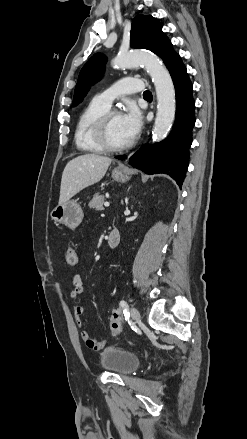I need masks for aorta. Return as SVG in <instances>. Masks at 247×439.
<instances>
[{"instance_id":"obj_1","label":"aorta","mask_w":247,"mask_h":439,"mask_svg":"<svg viewBox=\"0 0 247 439\" xmlns=\"http://www.w3.org/2000/svg\"><path fill=\"white\" fill-rule=\"evenodd\" d=\"M112 64L116 69L131 68L140 64L145 66L155 85L158 101L152 137L155 142L163 140L173 124L176 109L175 89L166 67L157 56L142 52L120 53L113 59Z\"/></svg>"}]
</instances>
